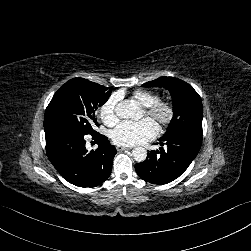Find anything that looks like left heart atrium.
Listing matches in <instances>:
<instances>
[{"instance_id": "obj_1", "label": "left heart atrium", "mask_w": 251, "mask_h": 251, "mask_svg": "<svg viewBox=\"0 0 251 251\" xmlns=\"http://www.w3.org/2000/svg\"><path fill=\"white\" fill-rule=\"evenodd\" d=\"M158 126L151 118L139 122L124 121L112 131V141L116 145L133 146L154 139Z\"/></svg>"}]
</instances>
